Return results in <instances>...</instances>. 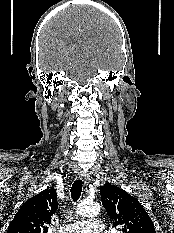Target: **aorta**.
Returning <instances> with one entry per match:
<instances>
[{
    "label": "aorta",
    "instance_id": "1",
    "mask_svg": "<svg viewBox=\"0 0 174 233\" xmlns=\"http://www.w3.org/2000/svg\"><path fill=\"white\" fill-rule=\"evenodd\" d=\"M76 212L84 217H95L100 213V206L95 203L81 202L77 205Z\"/></svg>",
    "mask_w": 174,
    "mask_h": 233
}]
</instances>
